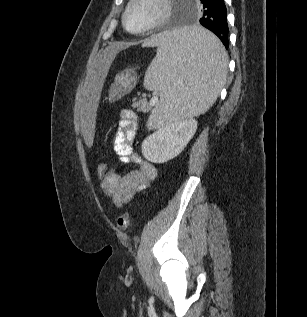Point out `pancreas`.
I'll return each instance as SVG.
<instances>
[{"instance_id": "pancreas-1", "label": "pancreas", "mask_w": 307, "mask_h": 317, "mask_svg": "<svg viewBox=\"0 0 307 317\" xmlns=\"http://www.w3.org/2000/svg\"><path fill=\"white\" fill-rule=\"evenodd\" d=\"M151 106L146 102V101H142V105H141V110L146 111V110H150Z\"/></svg>"}]
</instances>
